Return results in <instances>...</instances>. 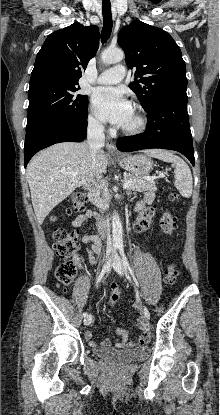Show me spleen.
Masks as SVG:
<instances>
[{
    "mask_svg": "<svg viewBox=\"0 0 220 415\" xmlns=\"http://www.w3.org/2000/svg\"><path fill=\"white\" fill-rule=\"evenodd\" d=\"M146 154L150 157L172 163V167H174L175 186L177 190L185 198H189L192 195V174L189 166L183 159L162 149L148 150Z\"/></svg>",
    "mask_w": 220,
    "mask_h": 415,
    "instance_id": "1",
    "label": "spleen"
}]
</instances>
